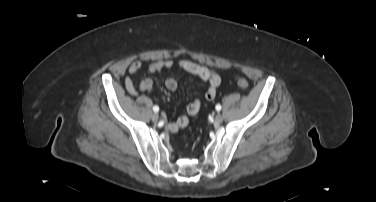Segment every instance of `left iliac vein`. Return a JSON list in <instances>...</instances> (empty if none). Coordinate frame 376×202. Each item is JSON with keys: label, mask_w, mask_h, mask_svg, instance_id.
I'll return each instance as SVG.
<instances>
[{"label": "left iliac vein", "mask_w": 376, "mask_h": 202, "mask_svg": "<svg viewBox=\"0 0 376 202\" xmlns=\"http://www.w3.org/2000/svg\"><path fill=\"white\" fill-rule=\"evenodd\" d=\"M222 121H223V116L221 115V114H217L216 116H215V118H214V123L215 124H220V123H222Z\"/></svg>", "instance_id": "1"}]
</instances>
